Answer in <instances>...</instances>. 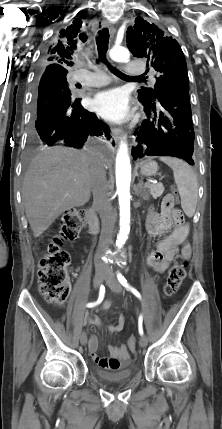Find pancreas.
<instances>
[{
	"label": "pancreas",
	"instance_id": "pancreas-1",
	"mask_svg": "<svg viewBox=\"0 0 222 429\" xmlns=\"http://www.w3.org/2000/svg\"><path fill=\"white\" fill-rule=\"evenodd\" d=\"M150 195L156 199L160 197L164 192V186L162 184H148L146 186Z\"/></svg>",
	"mask_w": 222,
	"mask_h": 429
}]
</instances>
